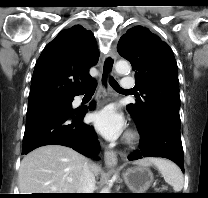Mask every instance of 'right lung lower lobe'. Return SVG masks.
Masks as SVG:
<instances>
[{"label": "right lung lower lobe", "mask_w": 208, "mask_h": 198, "mask_svg": "<svg viewBox=\"0 0 208 198\" xmlns=\"http://www.w3.org/2000/svg\"><path fill=\"white\" fill-rule=\"evenodd\" d=\"M94 107L95 104L91 103L89 109L93 110ZM87 111V108L73 109L71 104L39 105L28 109L22 155L40 146L58 144L71 147L88 157H96L99 144L95 131L92 126L82 122Z\"/></svg>", "instance_id": "98d812e1"}]
</instances>
